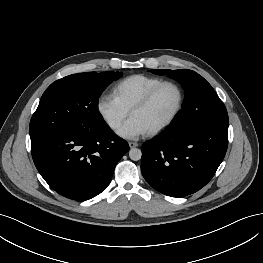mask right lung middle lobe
I'll return each mask as SVG.
<instances>
[{
	"mask_svg": "<svg viewBox=\"0 0 263 263\" xmlns=\"http://www.w3.org/2000/svg\"><path fill=\"white\" fill-rule=\"evenodd\" d=\"M121 75V72L112 71L86 72L53 82L42 95L31 118V144L66 130L105 123L98 111V99L103 90Z\"/></svg>",
	"mask_w": 263,
	"mask_h": 263,
	"instance_id": "obj_1",
	"label": "right lung middle lobe"
}]
</instances>
